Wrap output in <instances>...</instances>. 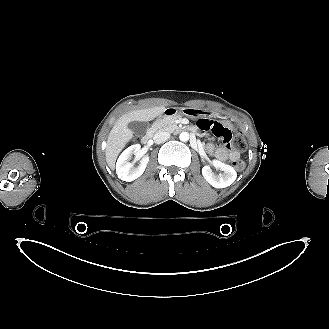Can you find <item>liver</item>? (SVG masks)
I'll return each mask as SVG.
<instances>
[{"mask_svg": "<svg viewBox=\"0 0 329 329\" xmlns=\"http://www.w3.org/2000/svg\"><path fill=\"white\" fill-rule=\"evenodd\" d=\"M164 106L130 111L122 115L111 129L105 150L106 162L111 170L115 169L116 159L127 142L132 139L133 132L128 128L131 121L149 122L165 111Z\"/></svg>", "mask_w": 329, "mask_h": 329, "instance_id": "obj_1", "label": "liver"}]
</instances>
